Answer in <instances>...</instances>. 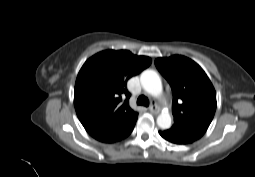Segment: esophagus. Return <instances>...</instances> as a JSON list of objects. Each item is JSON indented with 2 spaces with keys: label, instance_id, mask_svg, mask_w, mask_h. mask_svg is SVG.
<instances>
[{
  "label": "esophagus",
  "instance_id": "1",
  "mask_svg": "<svg viewBox=\"0 0 255 177\" xmlns=\"http://www.w3.org/2000/svg\"><path fill=\"white\" fill-rule=\"evenodd\" d=\"M149 110L154 113V114H158L160 112V109L159 107L156 105V104H152L150 107H149Z\"/></svg>",
  "mask_w": 255,
  "mask_h": 177
}]
</instances>
